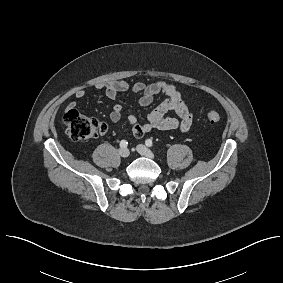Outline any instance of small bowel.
Returning a JSON list of instances; mask_svg holds the SVG:
<instances>
[{"label": "small bowel", "mask_w": 283, "mask_h": 283, "mask_svg": "<svg viewBox=\"0 0 283 283\" xmlns=\"http://www.w3.org/2000/svg\"><path fill=\"white\" fill-rule=\"evenodd\" d=\"M98 89H103L105 95L110 99H115L118 93L125 92L130 88L127 81L118 80L97 85ZM132 91L139 96V104L143 107L150 106L155 98L164 95L165 99L153 108L144 123H139L135 115L127 117L131 132L136 138H140L154 129L159 130H178L182 133L187 132L193 123V115L184 102L179 89L164 81H156L150 84L137 82L131 87ZM76 98H83L86 92L82 89L74 93ZM75 103L68 104V109L75 108ZM174 112L176 116H169ZM123 108L120 104L113 106L109 118L117 123L121 120Z\"/></svg>", "instance_id": "small-bowel-1"}]
</instances>
